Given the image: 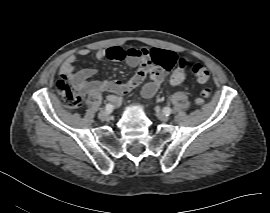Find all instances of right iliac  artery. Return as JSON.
<instances>
[{
	"instance_id": "82829eb1",
	"label": "right iliac artery",
	"mask_w": 270,
	"mask_h": 213,
	"mask_svg": "<svg viewBox=\"0 0 270 213\" xmlns=\"http://www.w3.org/2000/svg\"><path fill=\"white\" fill-rule=\"evenodd\" d=\"M105 109L110 113L113 110V105L108 103L106 104Z\"/></svg>"
}]
</instances>
